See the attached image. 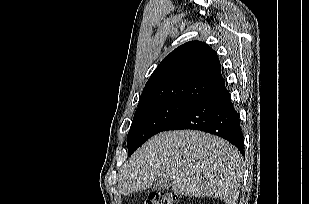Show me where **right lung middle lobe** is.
Segmentation results:
<instances>
[{
	"instance_id": "obj_1",
	"label": "right lung middle lobe",
	"mask_w": 309,
	"mask_h": 204,
	"mask_svg": "<svg viewBox=\"0 0 309 204\" xmlns=\"http://www.w3.org/2000/svg\"><path fill=\"white\" fill-rule=\"evenodd\" d=\"M196 104L187 100H157L138 104L127 138L129 155Z\"/></svg>"
}]
</instances>
